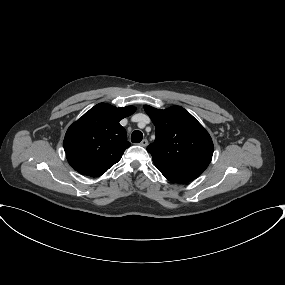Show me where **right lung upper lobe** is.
Wrapping results in <instances>:
<instances>
[{"label": "right lung upper lobe", "instance_id": "cb5924a9", "mask_svg": "<svg viewBox=\"0 0 285 285\" xmlns=\"http://www.w3.org/2000/svg\"><path fill=\"white\" fill-rule=\"evenodd\" d=\"M135 110L133 106L117 108L99 103L86 112L68 128L64 138L69 164L83 175L98 177L104 174L130 146L119 121Z\"/></svg>", "mask_w": 285, "mask_h": 285}]
</instances>
